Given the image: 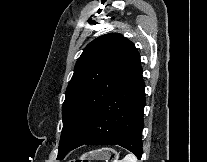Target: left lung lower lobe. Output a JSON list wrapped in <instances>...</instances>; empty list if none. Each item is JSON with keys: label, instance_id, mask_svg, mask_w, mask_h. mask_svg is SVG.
I'll return each mask as SVG.
<instances>
[{"label": "left lung lower lobe", "instance_id": "obj_1", "mask_svg": "<svg viewBox=\"0 0 207 162\" xmlns=\"http://www.w3.org/2000/svg\"><path fill=\"white\" fill-rule=\"evenodd\" d=\"M144 88L140 66L96 110L69 151L82 145H119L141 159L143 110L146 104Z\"/></svg>", "mask_w": 207, "mask_h": 162}]
</instances>
